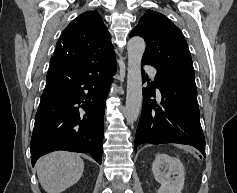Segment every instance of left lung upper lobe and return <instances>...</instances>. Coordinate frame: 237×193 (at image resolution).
Listing matches in <instances>:
<instances>
[{
  "mask_svg": "<svg viewBox=\"0 0 237 193\" xmlns=\"http://www.w3.org/2000/svg\"><path fill=\"white\" fill-rule=\"evenodd\" d=\"M145 39L142 62L162 74L195 82L194 68L187 42L180 29L159 12L147 10L131 32Z\"/></svg>",
  "mask_w": 237,
  "mask_h": 193,
  "instance_id": "5c2ea615",
  "label": "left lung upper lobe"
}]
</instances>
